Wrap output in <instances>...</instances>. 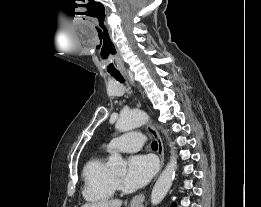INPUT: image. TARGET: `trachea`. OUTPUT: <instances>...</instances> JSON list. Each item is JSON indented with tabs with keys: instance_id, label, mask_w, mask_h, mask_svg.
<instances>
[{
	"instance_id": "1",
	"label": "trachea",
	"mask_w": 261,
	"mask_h": 207,
	"mask_svg": "<svg viewBox=\"0 0 261 207\" xmlns=\"http://www.w3.org/2000/svg\"><path fill=\"white\" fill-rule=\"evenodd\" d=\"M117 81L124 83V78L122 77V75L120 73H116V74H111ZM151 147L153 150H157L158 149V144L157 142L153 141L151 144Z\"/></svg>"
}]
</instances>
